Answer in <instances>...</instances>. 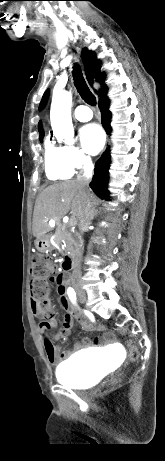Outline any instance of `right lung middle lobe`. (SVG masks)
<instances>
[{
  "mask_svg": "<svg viewBox=\"0 0 165 461\" xmlns=\"http://www.w3.org/2000/svg\"><path fill=\"white\" fill-rule=\"evenodd\" d=\"M43 136H44V135H41V136H40V141H42V139H43Z\"/></svg>",
  "mask_w": 165,
  "mask_h": 461,
  "instance_id": "right-lung-middle-lobe-1",
  "label": "right lung middle lobe"
}]
</instances>
